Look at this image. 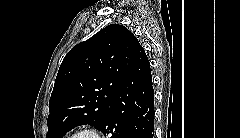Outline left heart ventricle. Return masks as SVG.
<instances>
[{
	"instance_id": "obj_1",
	"label": "left heart ventricle",
	"mask_w": 240,
	"mask_h": 138,
	"mask_svg": "<svg viewBox=\"0 0 240 138\" xmlns=\"http://www.w3.org/2000/svg\"><path fill=\"white\" fill-rule=\"evenodd\" d=\"M84 137H85V138H88V136H87V135H85Z\"/></svg>"
}]
</instances>
